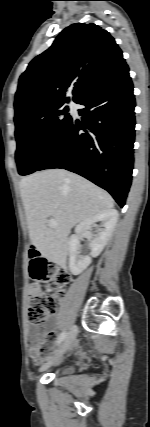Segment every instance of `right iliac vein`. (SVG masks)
<instances>
[{"label": "right iliac vein", "instance_id": "obj_1", "mask_svg": "<svg viewBox=\"0 0 150 427\" xmlns=\"http://www.w3.org/2000/svg\"><path fill=\"white\" fill-rule=\"evenodd\" d=\"M77 333H78V328H77V326H72V328L70 329V331L68 332V334H67V336H66V338H65V341H64V343H63V345H62V348H61V350L58 352V354H57V356L56 357H54V358H51L50 360H48V362L47 363H45L42 367H41V371H44L45 369H47L49 366H51V365H53L55 362H56V360H57V358L58 357H60V356H62L66 351H67V349L71 346V344L73 343V341L75 340V338H76V336H77Z\"/></svg>", "mask_w": 150, "mask_h": 427}]
</instances>
